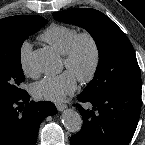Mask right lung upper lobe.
<instances>
[{
  "mask_svg": "<svg viewBox=\"0 0 145 145\" xmlns=\"http://www.w3.org/2000/svg\"><path fill=\"white\" fill-rule=\"evenodd\" d=\"M21 16H24V15H17V16L0 19V36L10 24L18 20ZM5 47H6L5 43L0 38V50H3Z\"/></svg>",
  "mask_w": 145,
  "mask_h": 145,
  "instance_id": "obj_1",
  "label": "right lung upper lobe"
}]
</instances>
